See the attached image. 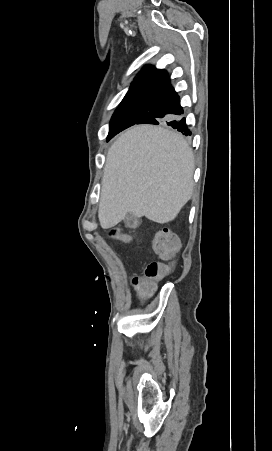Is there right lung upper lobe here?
Returning a JSON list of instances; mask_svg holds the SVG:
<instances>
[{
	"mask_svg": "<svg viewBox=\"0 0 272 451\" xmlns=\"http://www.w3.org/2000/svg\"><path fill=\"white\" fill-rule=\"evenodd\" d=\"M169 84L170 80L166 71L157 70L150 65L145 66L138 74V77L132 82L123 101L139 98H153Z\"/></svg>",
	"mask_w": 272,
	"mask_h": 451,
	"instance_id": "1",
	"label": "right lung upper lobe"
}]
</instances>
